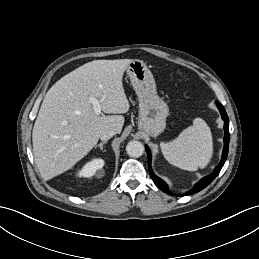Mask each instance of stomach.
I'll use <instances>...</instances> for the list:
<instances>
[{"label":"stomach","mask_w":259,"mask_h":259,"mask_svg":"<svg viewBox=\"0 0 259 259\" xmlns=\"http://www.w3.org/2000/svg\"><path fill=\"white\" fill-rule=\"evenodd\" d=\"M139 102V129L150 136H158L166 127L169 108L157 94L151 71L141 60H132L126 69Z\"/></svg>","instance_id":"0dacf381"}]
</instances>
